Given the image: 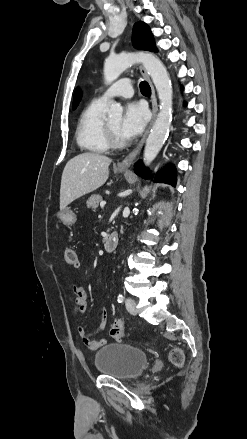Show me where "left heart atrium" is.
Instances as JSON below:
<instances>
[{
  "label": "left heart atrium",
  "mask_w": 247,
  "mask_h": 439,
  "mask_svg": "<svg viewBox=\"0 0 247 439\" xmlns=\"http://www.w3.org/2000/svg\"><path fill=\"white\" fill-rule=\"evenodd\" d=\"M148 121V111L140 103H129L125 107L119 124V134L124 140L137 137L145 128Z\"/></svg>",
  "instance_id": "obj_1"
}]
</instances>
